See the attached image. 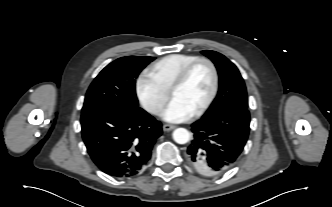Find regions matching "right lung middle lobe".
Here are the masks:
<instances>
[{"label":"right lung middle lobe","instance_id":"right-lung-middle-lobe-1","mask_svg":"<svg viewBox=\"0 0 332 207\" xmlns=\"http://www.w3.org/2000/svg\"><path fill=\"white\" fill-rule=\"evenodd\" d=\"M154 57L128 56L107 65L90 85L82 114L103 108L134 110L138 107L135 79Z\"/></svg>","mask_w":332,"mask_h":207}]
</instances>
